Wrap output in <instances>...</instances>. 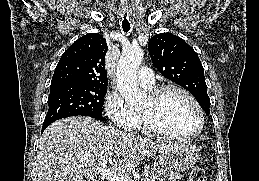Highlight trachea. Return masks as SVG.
<instances>
[{
  "mask_svg": "<svg viewBox=\"0 0 259 181\" xmlns=\"http://www.w3.org/2000/svg\"><path fill=\"white\" fill-rule=\"evenodd\" d=\"M122 28H123V31L127 33L130 30V23L127 20H123Z\"/></svg>",
  "mask_w": 259,
  "mask_h": 181,
  "instance_id": "3493384b",
  "label": "trachea"
}]
</instances>
